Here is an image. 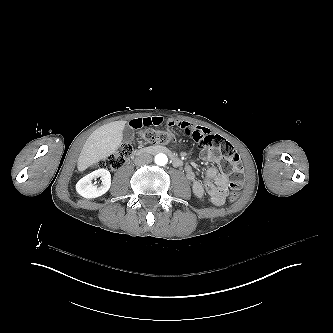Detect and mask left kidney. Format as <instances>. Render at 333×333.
Masks as SVG:
<instances>
[{
	"mask_svg": "<svg viewBox=\"0 0 333 333\" xmlns=\"http://www.w3.org/2000/svg\"><path fill=\"white\" fill-rule=\"evenodd\" d=\"M199 201H200L201 203H205V198H204L203 196H199Z\"/></svg>",
	"mask_w": 333,
	"mask_h": 333,
	"instance_id": "left-kidney-1",
	"label": "left kidney"
}]
</instances>
